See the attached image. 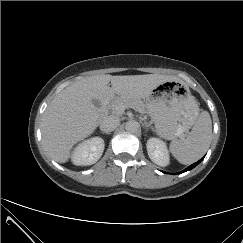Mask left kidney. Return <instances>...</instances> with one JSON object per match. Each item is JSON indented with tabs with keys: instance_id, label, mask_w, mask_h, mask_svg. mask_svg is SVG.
<instances>
[{
	"instance_id": "1",
	"label": "left kidney",
	"mask_w": 243,
	"mask_h": 243,
	"mask_svg": "<svg viewBox=\"0 0 243 243\" xmlns=\"http://www.w3.org/2000/svg\"><path fill=\"white\" fill-rule=\"evenodd\" d=\"M147 152L153 163L165 167L169 164V153L166 144L158 138H149Z\"/></svg>"
}]
</instances>
